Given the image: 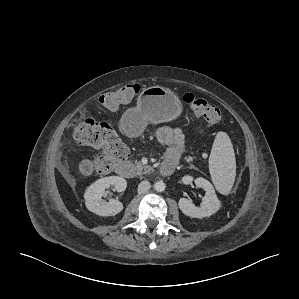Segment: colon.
<instances>
[{"label": "colon", "mask_w": 299, "mask_h": 299, "mask_svg": "<svg viewBox=\"0 0 299 299\" xmlns=\"http://www.w3.org/2000/svg\"><path fill=\"white\" fill-rule=\"evenodd\" d=\"M140 89L137 84L125 85L104 93L98 101L106 109H117L119 106L131 102ZM182 101L210 126L217 124L221 119L220 109L204 98L192 93H185L182 96ZM73 136L82 145L100 149V153L93 159L80 162L79 170L83 174H107L127 157L126 146L107 123L91 119L84 120L74 127Z\"/></svg>", "instance_id": "1"}]
</instances>
